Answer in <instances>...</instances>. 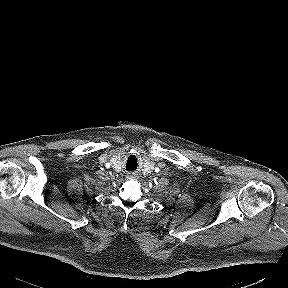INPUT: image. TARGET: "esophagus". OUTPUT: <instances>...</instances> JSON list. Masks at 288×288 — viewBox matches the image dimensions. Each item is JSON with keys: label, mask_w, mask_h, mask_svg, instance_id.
<instances>
[{"label": "esophagus", "mask_w": 288, "mask_h": 288, "mask_svg": "<svg viewBox=\"0 0 288 288\" xmlns=\"http://www.w3.org/2000/svg\"><path fill=\"white\" fill-rule=\"evenodd\" d=\"M135 174L134 173H129L127 175V179H131V178H134Z\"/></svg>", "instance_id": "obj_1"}]
</instances>
